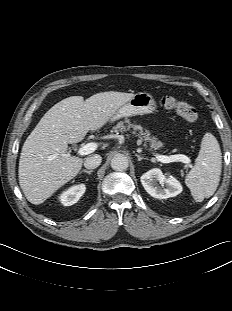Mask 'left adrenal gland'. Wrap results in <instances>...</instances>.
I'll list each match as a JSON object with an SVG mask.
<instances>
[{"instance_id":"1","label":"left adrenal gland","mask_w":232,"mask_h":311,"mask_svg":"<svg viewBox=\"0 0 232 311\" xmlns=\"http://www.w3.org/2000/svg\"><path fill=\"white\" fill-rule=\"evenodd\" d=\"M136 157L138 158V161H141L143 159H147L148 160V158L141 157V155H139V154H136Z\"/></svg>"}]
</instances>
